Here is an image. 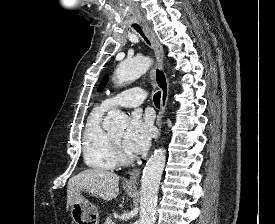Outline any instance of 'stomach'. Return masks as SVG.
Wrapping results in <instances>:
<instances>
[{"label":"stomach","mask_w":275,"mask_h":224,"mask_svg":"<svg viewBox=\"0 0 275 224\" xmlns=\"http://www.w3.org/2000/svg\"><path fill=\"white\" fill-rule=\"evenodd\" d=\"M125 191L129 196L135 194L134 189L125 187ZM71 217L75 224H99L98 209L81 195L71 204Z\"/></svg>","instance_id":"0dacf381"}]
</instances>
